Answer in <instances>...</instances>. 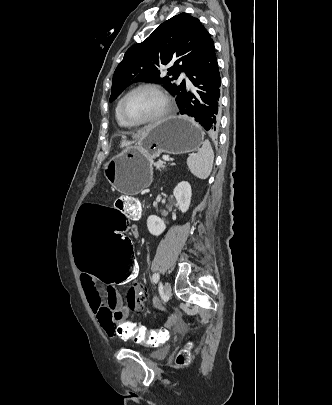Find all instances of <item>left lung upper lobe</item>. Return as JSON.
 <instances>
[{
  "mask_svg": "<svg viewBox=\"0 0 332 405\" xmlns=\"http://www.w3.org/2000/svg\"><path fill=\"white\" fill-rule=\"evenodd\" d=\"M213 45L210 34L201 22L181 13L162 23L144 42L130 47L113 76L110 102L130 84L146 81L164 84L176 99L186 92L185 80L171 83L185 71L189 76ZM169 66L168 76L161 68Z\"/></svg>",
  "mask_w": 332,
  "mask_h": 405,
  "instance_id": "left-lung-upper-lobe-1",
  "label": "left lung upper lobe"
}]
</instances>
